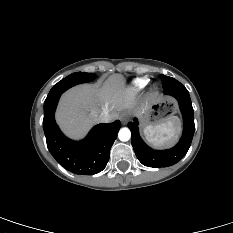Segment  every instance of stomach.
<instances>
[{"instance_id":"0dacf381","label":"stomach","mask_w":233,"mask_h":233,"mask_svg":"<svg viewBox=\"0 0 233 233\" xmlns=\"http://www.w3.org/2000/svg\"><path fill=\"white\" fill-rule=\"evenodd\" d=\"M179 111L177 100L170 95H163L143 112L141 124L143 127L155 126L174 118Z\"/></svg>"}]
</instances>
